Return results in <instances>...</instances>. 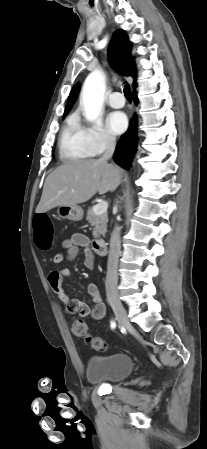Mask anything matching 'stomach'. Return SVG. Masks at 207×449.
I'll use <instances>...</instances> for the list:
<instances>
[{
	"instance_id": "stomach-1",
	"label": "stomach",
	"mask_w": 207,
	"mask_h": 449,
	"mask_svg": "<svg viewBox=\"0 0 207 449\" xmlns=\"http://www.w3.org/2000/svg\"><path fill=\"white\" fill-rule=\"evenodd\" d=\"M58 215L61 218L71 221H80L83 218L84 211L79 205H60L58 207Z\"/></svg>"
}]
</instances>
